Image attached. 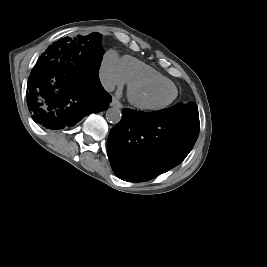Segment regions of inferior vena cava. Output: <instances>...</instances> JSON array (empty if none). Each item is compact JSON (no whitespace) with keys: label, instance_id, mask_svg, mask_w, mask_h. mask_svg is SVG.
<instances>
[{"label":"inferior vena cava","instance_id":"1","mask_svg":"<svg viewBox=\"0 0 267 267\" xmlns=\"http://www.w3.org/2000/svg\"><path fill=\"white\" fill-rule=\"evenodd\" d=\"M100 81L104 89L108 92H112L115 89L114 83L104 75H100Z\"/></svg>","mask_w":267,"mask_h":267}]
</instances>
